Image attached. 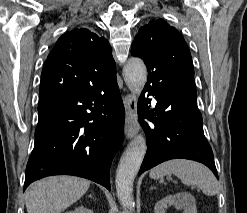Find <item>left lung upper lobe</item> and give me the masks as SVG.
Masks as SVG:
<instances>
[{
	"instance_id": "left-lung-upper-lobe-1",
	"label": "left lung upper lobe",
	"mask_w": 247,
	"mask_h": 213,
	"mask_svg": "<svg viewBox=\"0 0 247 213\" xmlns=\"http://www.w3.org/2000/svg\"><path fill=\"white\" fill-rule=\"evenodd\" d=\"M131 54L144 60L148 78L160 82L178 76L194 90V68L187 44L182 35L162 19L152 20L139 29Z\"/></svg>"
}]
</instances>
